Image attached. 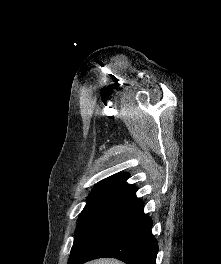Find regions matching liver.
<instances>
[{"mask_svg": "<svg viewBox=\"0 0 221 264\" xmlns=\"http://www.w3.org/2000/svg\"><path fill=\"white\" fill-rule=\"evenodd\" d=\"M86 264H124V263L118 260H115V259H98V260L91 261Z\"/></svg>", "mask_w": 221, "mask_h": 264, "instance_id": "1", "label": "liver"}]
</instances>
